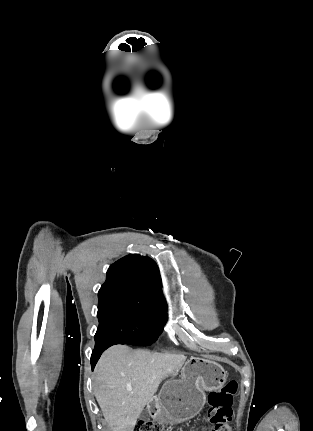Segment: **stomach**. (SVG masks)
<instances>
[{
  "mask_svg": "<svg viewBox=\"0 0 313 431\" xmlns=\"http://www.w3.org/2000/svg\"><path fill=\"white\" fill-rule=\"evenodd\" d=\"M227 372L212 361L191 357L181 371L180 379H171L164 384L158 397L152 401L153 417L164 424H176L199 414L205 401V391L222 388Z\"/></svg>",
  "mask_w": 313,
  "mask_h": 431,
  "instance_id": "obj_1",
  "label": "stomach"
}]
</instances>
